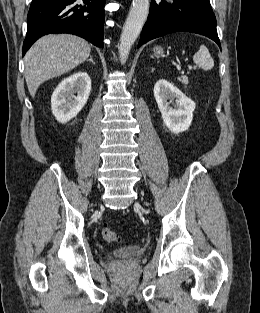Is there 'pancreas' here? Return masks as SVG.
Listing matches in <instances>:
<instances>
[{
  "mask_svg": "<svg viewBox=\"0 0 260 313\" xmlns=\"http://www.w3.org/2000/svg\"><path fill=\"white\" fill-rule=\"evenodd\" d=\"M180 82H182V84L187 85L188 84V78L186 76H182L179 79Z\"/></svg>",
  "mask_w": 260,
  "mask_h": 313,
  "instance_id": "obj_1",
  "label": "pancreas"
}]
</instances>
